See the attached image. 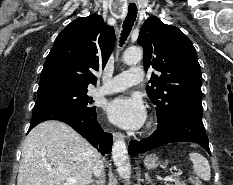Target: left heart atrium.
Instances as JSON below:
<instances>
[{"label": "left heart atrium", "mask_w": 233, "mask_h": 185, "mask_svg": "<svg viewBox=\"0 0 233 185\" xmlns=\"http://www.w3.org/2000/svg\"><path fill=\"white\" fill-rule=\"evenodd\" d=\"M105 113L112 123L126 129H138L146 119L145 106L138 96L122 95L109 100Z\"/></svg>", "instance_id": "left-heart-atrium-1"}]
</instances>
